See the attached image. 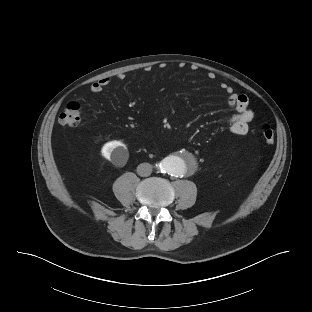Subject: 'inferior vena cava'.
<instances>
[{"label":"inferior vena cava","instance_id":"obj_1","mask_svg":"<svg viewBox=\"0 0 312 312\" xmlns=\"http://www.w3.org/2000/svg\"><path fill=\"white\" fill-rule=\"evenodd\" d=\"M152 165L149 163H142L137 167V173L139 176L147 177L152 173Z\"/></svg>","mask_w":312,"mask_h":312}]
</instances>
